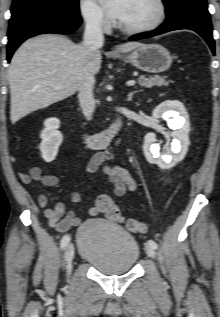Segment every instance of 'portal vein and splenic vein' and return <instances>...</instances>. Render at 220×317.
<instances>
[{
	"label": "portal vein and splenic vein",
	"instance_id": "1",
	"mask_svg": "<svg viewBox=\"0 0 220 317\" xmlns=\"http://www.w3.org/2000/svg\"><path fill=\"white\" fill-rule=\"evenodd\" d=\"M126 84L127 86H133L136 84V82L134 80H131V81H128Z\"/></svg>",
	"mask_w": 220,
	"mask_h": 317
}]
</instances>
